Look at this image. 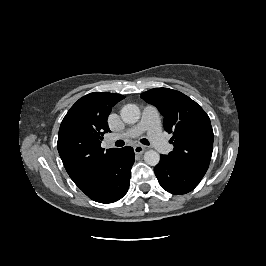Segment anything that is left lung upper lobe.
<instances>
[{"instance_id":"obj_1","label":"left lung upper lobe","mask_w":266,"mask_h":266,"mask_svg":"<svg viewBox=\"0 0 266 266\" xmlns=\"http://www.w3.org/2000/svg\"><path fill=\"white\" fill-rule=\"evenodd\" d=\"M164 116V128L173 134L174 149L164 155L178 167L207 170L213 151V130L209 116L191 98L169 88H154L141 94Z\"/></svg>"}]
</instances>
